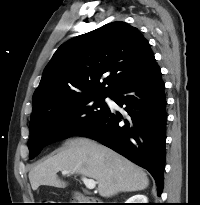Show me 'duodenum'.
I'll return each instance as SVG.
<instances>
[{
	"label": "duodenum",
	"mask_w": 200,
	"mask_h": 205,
	"mask_svg": "<svg viewBox=\"0 0 200 205\" xmlns=\"http://www.w3.org/2000/svg\"><path fill=\"white\" fill-rule=\"evenodd\" d=\"M74 196L78 201H81V202H96V201H98V199L92 198V197H87V196L81 194L80 192H75Z\"/></svg>",
	"instance_id": "duodenum-1"
}]
</instances>
